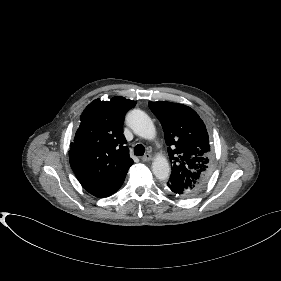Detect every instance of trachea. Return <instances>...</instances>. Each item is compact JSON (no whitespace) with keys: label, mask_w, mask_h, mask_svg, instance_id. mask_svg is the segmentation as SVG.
Returning <instances> with one entry per match:
<instances>
[{"label":"trachea","mask_w":281,"mask_h":281,"mask_svg":"<svg viewBox=\"0 0 281 281\" xmlns=\"http://www.w3.org/2000/svg\"><path fill=\"white\" fill-rule=\"evenodd\" d=\"M145 153V147L142 144H138L134 148V154L137 156H142Z\"/></svg>","instance_id":"trachea-1"}]
</instances>
